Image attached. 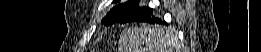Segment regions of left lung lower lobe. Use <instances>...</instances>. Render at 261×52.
<instances>
[{
	"label": "left lung lower lobe",
	"instance_id": "left-lung-lower-lobe-1",
	"mask_svg": "<svg viewBox=\"0 0 261 52\" xmlns=\"http://www.w3.org/2000/svg\"><path fill=\"white\" fill-rule=\"evenodd\" d=\"M137 21H142V22H149L152 24H166V22L162 21L161 19L155 18L152 15V10L150 9L149 11H147L141 18H139Z\"/></svg>",
	"mask_w": 261,
	"mask_h": 52
}]
</instances>
